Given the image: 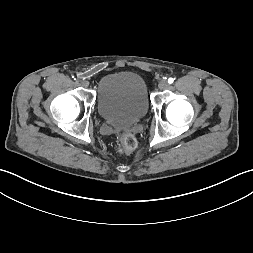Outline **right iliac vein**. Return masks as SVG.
<instances>
[{"label": "right iliac vein", "instance_id": "right-iliac-vein-1", "mask_svg": "<svg viewBox=\"0 0 253 253\" xmlns=\"http://www.w3.org/2000/svg\"><path fill=\"white\" fill-rule=\"evenodd\" d=\"M81 84H82L83 87H88V86H89V81H87V80H82V81H81Z\"/></svg>", "mask_w": 253, "mask_h": 253}]
</instances>
